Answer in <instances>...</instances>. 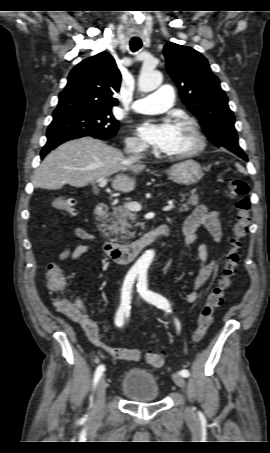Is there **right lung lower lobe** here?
<instances>
[{
    "label": "right lung lower lobe",
    "instance_id": "obj_1",
    "mask_svg": "<svg viewBox=\"0 0 270 453\" xmlns=\"http://www.w3.org/2000/svg\"><path fill=\"white\" fill-rule=\"evenodd\" d=\"M84 136H92L97 139L105 140L101 136L91 135V134H67V133L48 134L47 135L48 141L40 153L41 159H43L45 157V155H47L52 149H54L58 145L66 142L68 140H72V139H76V138H80V137H84Z\"/></svg>",
    "mask_w": 270,
    "mask_h": 453
}]
</instances>
